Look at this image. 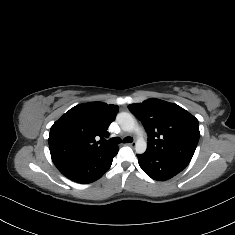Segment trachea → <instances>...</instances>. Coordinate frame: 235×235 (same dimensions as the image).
<instances>
[{
    "label": "trachea",
    "instance_id": "trachea-1",
    "mask_svg": "<svg viewBox=\"0 0 235 235\" xmlns=\"http://www.w3.org/2000/svg\"><path fill=\"white\" fill-rule=\"evenodd\" d=\"M132 141H133L132 137H126L123 140V143H131ZM103 143L104 144H109V145H118V144L121 143V139L118 138V137H114V138L109 139L108 141L104 140Z\"/></svg>",
    "mask_w": 235,
    "mask_h": 235
}]
</instances>
